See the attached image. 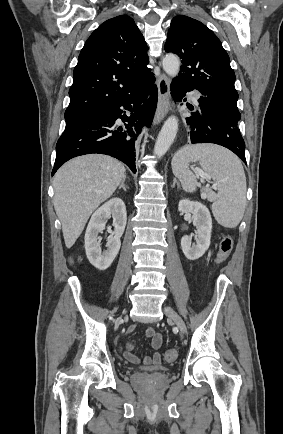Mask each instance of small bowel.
Returning <instances> with one entry per match:
<instances>
[{
  "label": "small bowel",
  "mask_w": 283,
  "mask_h": 434,
  "mask_svg": "<svg viewBox=\"0 0 283 434\" xmlns=\"http://www.w3.org/2000/svg\"><path fill=\"white\" fill-rule=\"evenodd\" d=\"M134 326H130L127 332L133 331ZM145 336L150 338L151 347L155 352L152 356H145L142 359L138 358L134 355L131 350L133 348L132 344H128V349L124 351V357L133 364L141 363L144 366H158L161 363V355L157 352V350L161 347L163 342V337L160 333H157L152 327H147L145 330Z\"/></svg>",
  "instance_id": "1"
}]
</instances>
